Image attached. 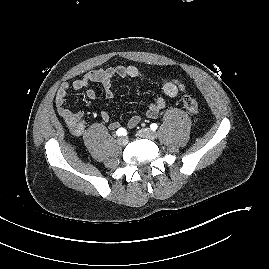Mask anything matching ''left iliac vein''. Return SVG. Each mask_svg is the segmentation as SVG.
<instances>
[{"label":"left iliac vein","instance_id":"4c4485c4","mask_svg":"<svg viewBox=\"0 0 269 269\" xmlns=\"http://www.w3.org/2000/svg\"><path fill=\"white\" fill-rule=\"evenodd\" d=\"M138 136L153 140L156 138L157 134L149 128H143L138 131Z\"/></svg>","mask_w":269,"mask_h":269}]
</instances>
